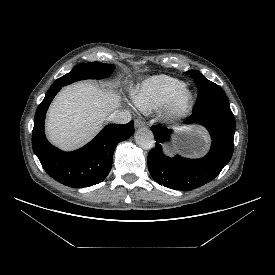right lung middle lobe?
Here are the masks:
<instances>
[{
	"label": "right lung middle lobe",
	"instance_id": "dd1d6c3e",
	"mask_svg": "<svg viewBox=\"0 0 275 275\" xmlns=\"http://www.w3.org/2000/svg\"><path fill=\"white\" fill-rule=\"evenodd\" d=\"M114 65L100 62L81 63L75 66L71 72L57 79L52 86L73 83L82 79H101L112 73Z\"/></svg>",
	"mask_w": 275,
	"mask_h": 275
}]
</instances>
